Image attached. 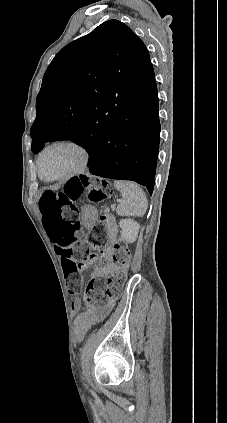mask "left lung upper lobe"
Masks as SVG:
<instances>
[{
  "label": "left lung upper lobe",
  "mask_w": 227,
  "mask_h": 423,
  "mask_svg": "<svg viewBox=\"0 0 227 423\" xmlns=\"http://www.w3.org/2000/svg\"><path fill=\"white\" fill-rule=\"evenodd\" d=\"M155 82L149 53L124 23L109 20L62 48L36 99L32 151L94 134L108 113L142 110Z\"/></svg>",
  "instance_id": "left-lung-upper-lobe-1"
}]
</instances>
